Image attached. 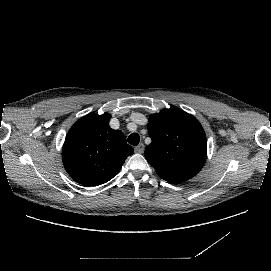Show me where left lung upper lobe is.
Returning a JSON list of instances; mask_svg holds the SVG:
<instances>
[{"mask_svg": "<svg viewBox=\"0 0 271 271\" xmlns=\"http://www.w3.org/2000/svg\"><path fill=\"white\" fill-rule=\"evenodd\" d=\"M152 139L145 158L160 177H194L207 156L204 129L192 115L178 108L163 109L149 117L147 125Z\"/></svg>", "mask_w": 271, "mask_h": 271, "instance_id": "obj_1", "label": "left lung upper lobe"}]
</instances>
